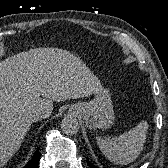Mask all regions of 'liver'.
<instances>
[{
	"mask_svg": "<svg viewBox=\"0 0 168 168\" xmlns=\"http://www.w3.org/2000/svg\"><path fill=\"white\" fill-rule=\"evenodd\" d=\"M80 58L58 48H35L0 62V166L16 153L33 121L31 109L101 91Z\"/></svg>",
	"mask_w": 168,
	"mask_h": 168,
	"instance_id": "liver-1",
	"label": "liver"
}]
</instances>
